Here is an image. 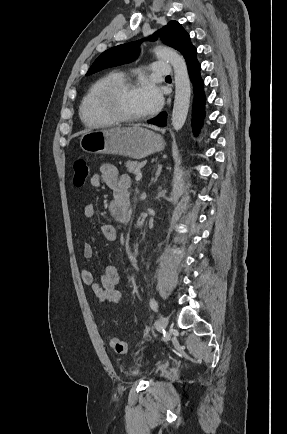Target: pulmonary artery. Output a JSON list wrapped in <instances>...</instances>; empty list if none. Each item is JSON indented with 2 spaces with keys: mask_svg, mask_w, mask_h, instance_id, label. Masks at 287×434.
Listing matches in <instances>:
<instances>
[{
  "mask_svg": "<svg viewBox=\"0 0 287 434\" xmlns=\"http://www.w3.org/2000/svg\"><path fill=\"white\" fill-rule=\"evenodd\" d=\"M151 70L155 75L169 76L171 74V65L168 63L156 62L151 65Z\"/></svg>",
  "mask_w": 287,
  "mask_h": 434,
  "instance_id": "1",
  "label": "pulmonary artery"
}]
</instances>
